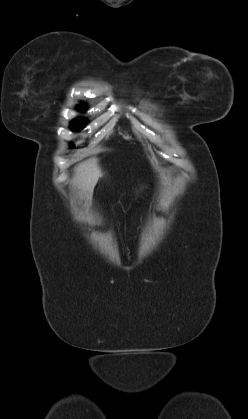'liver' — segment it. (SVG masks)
<instances>
[{
    "instance_id": "6515ba94",
    "label": "liver",
    "mask_w": 248,
    "mask_h": 419,
    "mask_svg": "<svg viewBox=\"0 0 248 419\" xmlns=\"http://www.w3.org/2000/svg\"><path fill=\"white\" fill-rule=\"evenodd\" d=\"M101 176L102 172L98 167L96 160H87L76 167L74 184L86 194L89 200H91L94 187Z\"/></svg>"
}]
</instances>
